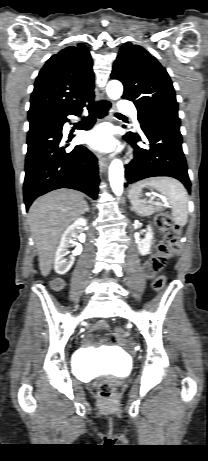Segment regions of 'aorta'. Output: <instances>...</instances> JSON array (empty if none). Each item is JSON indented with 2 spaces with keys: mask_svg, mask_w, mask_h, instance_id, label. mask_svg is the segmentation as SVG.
Listing matches in <instances>:
<instances>
[{
  "mask_svg": "<svg viewBox=\"0 0 208 461\" xmlns=\"http://www.w3.org/2000/svg\"><path fill=\"white\" fill-rule=\"evenodd\" d=\"M107 95L112 100L122 96L123 86L118 80H111L106 88ZM109 182L116 196H121L124 185V167L120 159H114L109 166Z\"/></svg>",
  "mask_w": 208,
  "mask_h": 461,
  "instance_id": "obj_1",
  "label": "aorta"
}]
</instances>
